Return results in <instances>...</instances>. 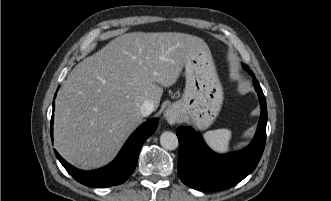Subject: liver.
<instances>
[{
	"label": "liver",
	"mask_w": 331,
	"mask_h": 201,
	"mask_svg": "<svg viewBox=\"0 0 331 201\" xmlns=\"http://www.w3.org/2000/svg\"><path fill=\"white\" fill-rule=\"evenodd\" d=\"M203 39L178 32L123 34L82 60L61 87L55 107L54 143L80 169L110 162L142 122L145 100L156 109L162 87L176 83Z\"/></svg>",
	"instance_id": "6515ba94"
}]
</instances>
